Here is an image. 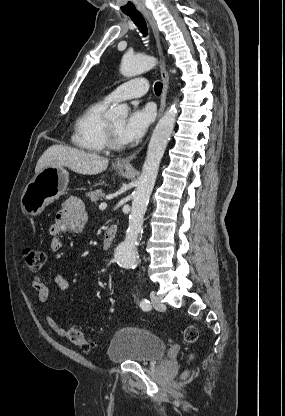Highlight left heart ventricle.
I'll return each mask as SVG.
<instances>
[{"label": "left heart ventricle", "instance_id": "1", "mask_svg": "<svg viewBox=\"0 0 285 416\" xmlns=\"http://www.w3.org/2000/svg\"><path fill=\"white\" fill-rule=\"evenodd\" d=\"M107 122H108V124H109V126H110V128H111V130L113 132L114 137L119 142H121L120 137H119V130H120L121 126L124 123V119H112V120H109Z\"/></svg>", "mask_w": 285, "mask_h": 416}]
</instances>
